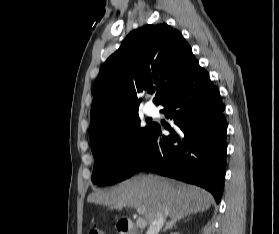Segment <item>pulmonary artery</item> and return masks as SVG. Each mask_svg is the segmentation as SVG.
<instances>
[{
	"mask_svg": "<svg viewBox=\"0 0 279 234\" xmlns=\"http://www.w3.org/2000/svg\"><path fill=\"white\" fill-rule=\"evenodd\" d=\"M144 110L147 115H155L157 113V108L151 102L145 104Z\"/></svg>",
	"mask_w": 279,
	"mask_h": 234,
	"instance_id": "1",
	"label": "pulmonary artery"
}]
</instances>
